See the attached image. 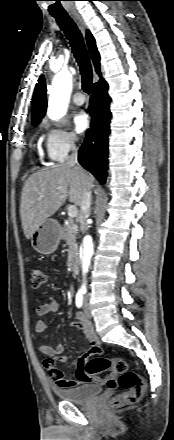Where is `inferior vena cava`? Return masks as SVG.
Here are the masks:
<instances>
[{
	"label": "inferior vena cava",
	"instance_id": "inferior-vena-cava-1",
	"mask_svg": "<svg viewBox=\"0 0 174 440\" xmlns=\"http://www.w3.org/2000/svg\"><path fill=\"white\" fill-rule=\"evenodd\" d=\"M71 154L66 159V165L74 167L75 169H79L78 166V149L75 145L74 140H71L70 144ZM90 205H91V191L89 189H85L83 192V196L80 202V229L84 233L87 229V219L90 215Z\"/></svg>",
	"mask_w": 174,
	"mask_h": 440
}]
</instances>
